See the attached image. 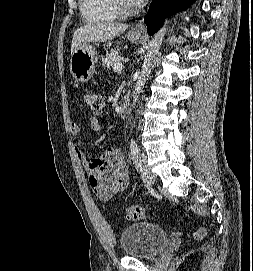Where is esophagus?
I'll return each mask as SVG.
<instances>
[{
	"label": "esophagus",
	"instance_id": "1",
	"mask_svg": "<svg viewBox=\"0 0 253 271\" xmlns=\"http://www.w3.org/2000/svg\"><path fill=\"white\" fill-rule=\"evenodd\" d=\"M134 32L139 33V34H144L145 33V26L143 24V22H138L134 28H133Z\"/></svg>",
	"mask_w": 253,
	"mask_h": 271
}]
</instances>
